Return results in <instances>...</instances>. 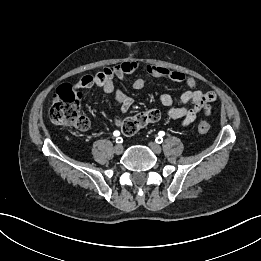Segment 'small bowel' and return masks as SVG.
I'll use <instances>...</instances> for the list:
<instances>
[{
	"label": "small bowel",
	"mask_w": 261,
	"mask_h": 261,
	"mask_svg": "<svg viewBox=\"0 0 261 261\" xmlns=\"http://www.w3.org/2000/svg\"><path fill=\"white\" fill-rule=\"evenodd\" d=\"M142 64L137 60H129L118 65L105 68L103 72L91 76H83L77 83L78 87L91 88L99 86L107 94L114 93L115 100L120 107L121 113H126L133 104V99L126 93L116 90L115 79H124L127 75L137 72L142 69ZM145 71L152 77H164L176 82H184L187 90L184 91L179 100L178 105L171 95L162 93L159 100L162 105L168 108L167 116L173 120H180L182 126H188L193 123L199 113L208 115L211 112V103L215 101L216 95L214 92H203L196 89V81L185 76L179 71H174L159 65H147ZM132 87L134 90L140 91L146 87V81L142 78H137L133 81Z\"/></svg>",
	"instance_id": "obj_1"
}]
</instances>
